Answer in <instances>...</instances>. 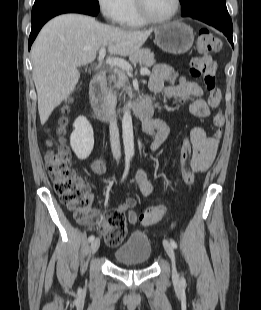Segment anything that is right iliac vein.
<instances>
[{
  "label": "right iliac vein",
  "mask_w": 261,
  "mask_h": 310,
  "mask_svg": "<svg viewBox=\"0 0 261 310\" xmlns=\"http://www.w3.org/2000/svg\"><path fill=\"white\" fill-rule=\"evenodd\" d=\"M99 246H100V239L99 238L94 239L90 245V253L95 254L99 249Z\"/></svg>",
  "instance_id": "1"
}]
</instances>
